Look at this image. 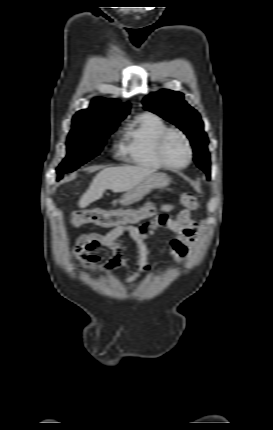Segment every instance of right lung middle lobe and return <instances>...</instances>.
I'll list each match as a JSON object with an SVG mask.
<instances>
[{
  "instance_id": "dd1d6c3e",
  "label": "right lung middle lobe",
  "mask_w": 273,
  "mask_h": 430,
  "mask_svg": "<svg viewBox=\"0 0 273 430\" xmlns=\"http://www.w3.org/2000/svg\"><path fill=\"white\" fill-rule=\"evenodd\" d=\"M119 122L72 121V130L68 136V155L57 169L58 178L64 173L78 167L97 156L102 150L106 139L112 134Z\"/></svg>"
}]
</instances>
